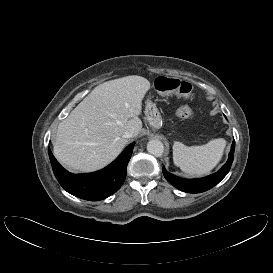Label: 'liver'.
I'll list each match as a JSON object with an SVG mask.
<instances>
[{
	"label": "liver",
	"instance_id": "obj_1",
	"mask_svg": "<svg viewBox=\"0 0 273 273\" xmlns=\"http://www.w3.org/2000/svg\"><path fill=\"white\" fill-rule=\"evenodd\" d=\"M150 82L132 75L91 91L57 128L55 157L73 170L91 172L115 159L127 144L125 131L142 129V100Z\"/></svg>",
	"mask_w": 273,
	"mask_h": 273
}]
</instances>
